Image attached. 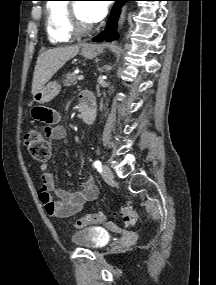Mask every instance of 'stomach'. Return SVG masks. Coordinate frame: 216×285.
I'll return each instance as SVG.
<instances>
[{
	"instance_id": "obj_1",
	"label": "stomach",
	"mask_w": 216,
	"mask_h": 285,
	"mask_svg": "<svg viewBox=\"0 0 216 285\" xmlns=\"http://www.w3.org/2000/svg\"><path fill=\"white\" fill-rule=\"evenodd\" d=\"M99 49L100 47L97 45H85L81 51V55L87 59H93L98 55ZM60 89L61 86L56 81H51L33 95V99L39 104L49 103L59 94Z\"/></svg>"
}]
</instances>
